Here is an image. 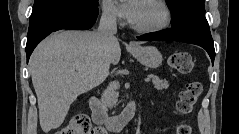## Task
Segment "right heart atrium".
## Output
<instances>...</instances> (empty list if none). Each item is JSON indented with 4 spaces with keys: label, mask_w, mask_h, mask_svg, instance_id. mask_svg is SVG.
Instances as JSON below:
<instances>
[{
    "label": "right heart atrium",
    "mask_w": 239,
    "mask_h": 134,
    "mask_svg": "<svg viewBox=\"0 0 239 134\" xmlns=\"http://www.w3.org/2000/svg\"><path fill=\"white\" fill-rule=\"evenodd\" d=\"M103 17L108 22H116L118 20V11L115 4L110 0L102 2Z\"/></svg>",
    "instance_id": "obj_1"
}]
</instances>
